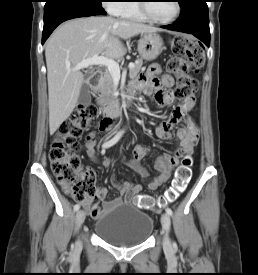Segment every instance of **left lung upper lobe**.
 Wrapping results in <instances>:
<instances>
[{
    "instance_id": "obj_1",
    "label": "left lung upper lobe",
    "mask_w": 258,
    "mask_h": 275,
    "mask_svg": "<svg viewBox=\"0 0 258 275\" xmlns=\"http://www.w3.org/2000/svg\"><path fill=\"white\" fill-rule=\"evenodd\" d=\"M187 0H178V3L180 4V6H182Z\"/></svg>"
}]
</instances>
